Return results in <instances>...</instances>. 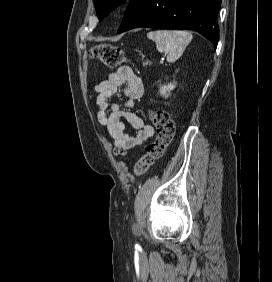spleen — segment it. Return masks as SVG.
I'll return each mask as SVG.
<instances>
[{
	"mask_svg": "<svg viewBox=\"0 0 272 282\" xmlns=\"http://www.w3.org/2000/svg\"><path fill=\"white\" fill-rule=\"evenodd\" d=\"M147 37L156 43L159 52L167 54V61L170 63L182 56L192 40L191 33L186 31L157 30L149 32Z\"/></svg>",
	"mask_w": 272,
	"mask_h": 282,
	"instance_id": "3e777b00",
	"label": "spleen"
}]
</instances>
